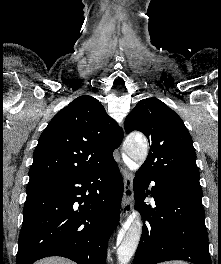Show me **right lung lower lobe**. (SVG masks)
I'll return each mask as SVG.
<instances>
[{
  "label": "right lung lower lobe",
  "mask_w": 221,
  "mask_h": 264,
  "mask_svg": "<svg viewBox=\"0 0 221 264\" xmlns=\"http://www.w3.org/2000/svg\"><path fill=\"white\" fill-rule=\"evenodd\" d=\"M123 190L114 158L87 173L27 186L16 264H32L46 256L106 264Z\"/></svg>",
  "instance_id": "obj_1"
}]
</instances>
